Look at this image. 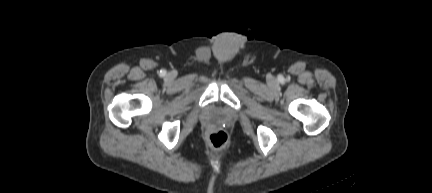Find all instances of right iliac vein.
Listing matches in <instances>:
<instances>
[{
	"mask_svg": "<svg viewBox=\"0 0 432 193\" xmlns=\"http://www.w3.org/2000/svg\"><path fill=\"white\" fill-rule=\"evenodd\" d=\"M167 77H168L169 79H172V78H173V75H172V74H168Z\"/></svg>",
	"mask_w": 432,
	"mask_h": 193,
	"instance_id": "right-iliac-vein-1",
	"label": "right iliac vein"
}]
</instances>
